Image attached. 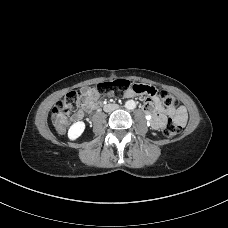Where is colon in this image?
I'll list each match as a JSON object with an SVG mask.
<instances>
[{"label": "colon", "mask_w": 228, "mask_h": 228, "mask_svg": "<svg viewBox=\"0 0 228 228\" xmlns=\"http://www.w3.org/2000/svg\"><path fill=\"white\" fill-rule=\"evenodd\" d=\"M96 91H103L108 88H119V89H132L136 94L151 97L156 94V90L147 85L130 83L127 79H115L112 81L102 82L96 86H92ZM86 96V92L83 89L69 92L61 104L56 105L52 110V121L58 132H64L70 123V110L76 107L80 101ZM159 98L161 105L166 110H171L177 107L178 100L175 96L167 91H160ZM181 132V126L173 119H168L164 128L163 133L168 138H175Z\"/></svg>", "instance_id": "colon-1"}]
</instances>
